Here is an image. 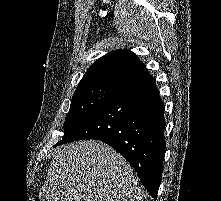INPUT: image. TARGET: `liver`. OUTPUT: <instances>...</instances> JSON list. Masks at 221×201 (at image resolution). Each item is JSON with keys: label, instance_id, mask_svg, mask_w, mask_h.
<instances>
[{"label": "liver", "instance_id": "obj_1", "mask_svg": "<svg viewBox=\"0 0 221 201\" xmlns=\"http://www.w3.org/2000/svg\"><path fill=\"white\" fill-rule=\"evenodd\" d=\"M40 195L41 201H143L131 165L97 140L59 148Z\"/></svg>", "mask_w": 221, "mask_h": 201}]
</instances>
